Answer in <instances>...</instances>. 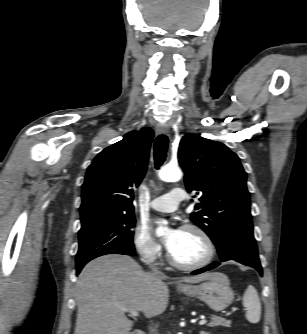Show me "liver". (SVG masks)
Instances as JSON below:
<instances>
[{
	"label": "liver",
	"mask_w": 307,
	"mask_h": 334,
	"mask_svg": "<svg viewBox=\"0 0 307 334\" xmlns=\"http://www.w3.org/2000/svg\"><path fill=\"white\" fill-rule=\"evenodd\" d=\"M213 273L183 279L208 280ZM162 276L143 271L130 256L108 254L90 261L76 285L78 305L74 334H131L133 321L120 308L139 311L151 318L168 305V283Z\"/></svg>",
	"instance_id": "6515ba94"
}]
</instances>
